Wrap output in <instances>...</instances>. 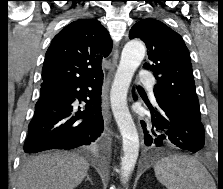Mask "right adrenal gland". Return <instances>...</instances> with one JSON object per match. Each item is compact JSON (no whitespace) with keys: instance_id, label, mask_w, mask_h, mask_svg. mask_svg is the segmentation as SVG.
<instances>
[{"instance_id":"2a0ac1e0","label":"right adrenal gland","mask_w":223,"mask_h":189,"mask_svg":"<svg viewBox=\"0 0 223 189\" xmlns=\"http://www.w3.org/2000/svg\"><path fill=\"white\" fill-rule=\"evenodd\" d=\"M86 180H88V181H90V182L92 183V180H91V178L89 177V175H87Z\"/></svg>"}]
</instances>
